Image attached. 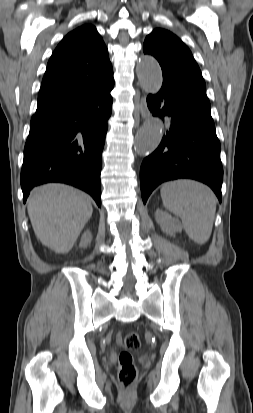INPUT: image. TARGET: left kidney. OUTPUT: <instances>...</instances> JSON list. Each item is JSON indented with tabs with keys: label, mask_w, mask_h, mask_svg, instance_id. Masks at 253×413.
I'll return each instance as SVG.
<instances>
[{
	"label": "left kidney",
	"mask_w": 253,
	"mask_h": 413,
	"mask_svg": "<svg viewBox=\"0 0 253 413\" xmlns=\"http://www.w3.org/2000/svg\"><path fill=\"white\" fill-rule=\"evenodd\" d=\"M155 218L156 222L160 225L161 230L170 236H173L176 232L182 231L180 222L160 209L156 210Z\"/></svg>",
	"instance_id": "1"
}]
</instances>
